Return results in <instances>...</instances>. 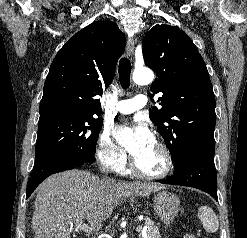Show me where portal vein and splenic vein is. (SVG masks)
<instances>
[{"mask_svg":"<svg viewBox=\"0 0 247 238\" xmlns=\"http://www.w3.org/2000/svg\"><path fill=\"white\" fill-rule=\"evenodd\" d=\"M75 227L79 230H82L86 233H92L94 229H92L91 227H89L87 224L83 223V222H80V223H77L75 225ZM136 231L138 233L142 232L144 235L146 234V229L143 228L142 225H139L137 228H136Z\"/></svg>","mask_w":247,"mask_h":238,"instance_id":"18ae733b","label":"portal vein and splenic vein"}]
</instances>
